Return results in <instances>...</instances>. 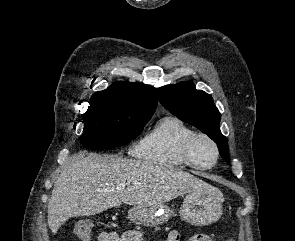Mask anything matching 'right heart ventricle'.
<instances>
[{
  "label": "right heart ventricle",
  "instance_id": "1",
  "mask_svg": "<svg viewBox=\"0 0 295 241\" xmlns=\"http://www.w3.org/2000/svg\"><path fill=\"white\" fill-rule=\"evenodd\" d=\"M194 131L184 121L174 116L160 119L138 144L135 153L147 162L168 166L186 165L181 148Z\"/></svg>",
  "mask_w": 295,
  "mask_h": 241
}]
</instances>
